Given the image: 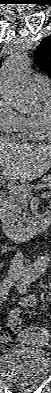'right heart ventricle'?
Masks as SVG:
<instances>
[{
	"instance_id": "obj_1",
	"label": "right heart ventricle",
	"mask_w": 51,
	"mask_h": 393,
	"mask_svg": "<svg viewBox=\"0 0 51 393\" xmlns=\"http://www.w3.org/2000/svg\"><path fill=\"white\" fill-rule=\"evenodd\" d=\"M37 94L42 104H45L50 100L51 91L45 92L37 90ZM22 130V138L25 140L44 141L48 137L47 132L43 129L42 124L40 123L39 112L23 116Z\"/></svg>"
}]
</instances>
